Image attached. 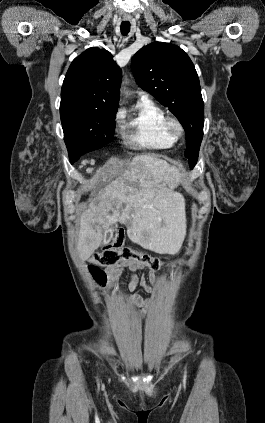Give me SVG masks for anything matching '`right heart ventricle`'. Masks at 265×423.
<instances>
[{
	"label": "right heart ventricle",
	"mask_w": 265,
	"mask_h": 423,
	"mask_svg": "<svg viewBox=\"0 0 265 423\" xmlns=\"http://www.w3.org/2000/svg\"><path fill=\"white\" fill-rule=\"evenodd\" d=\"M164 111L149 99H141L136 104L135 113L129 118L124 140L127 144L152 150L172 148L176 140L164 129Z\"/></svg>",
	"instance_id": "obj_1"
}]
</instances>
